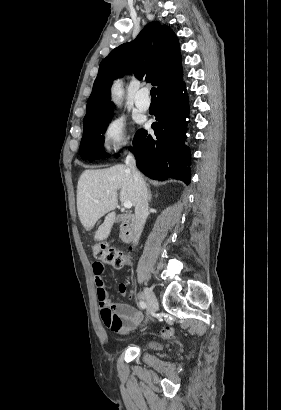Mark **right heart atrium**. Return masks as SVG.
Listing matches in <instances>:
<instances>
[{
    "label": "right heart atrium",
    "mask_w": 281,
    "mask_h": 410,
    "mask_svg": "<svg viewBox=\"0 0 281 410\" xmlns=\"http://www.w3.org/2000/svg\"><path fill=\"white\" fill-rule=\"evenodd\" d=\"M128 143L127 125L124 117L115 116L103 132V145L106 151L122 150Z\"/></svg>",
    "instance_id": "1"
}]
</instances>
